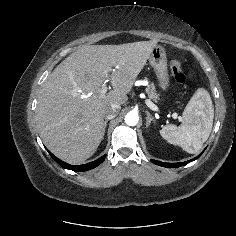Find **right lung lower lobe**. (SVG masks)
<instances>
[{
	"mask_svg": "<svg viewBox=\"0 0 236 236\" xmlns=\"http://www.w3.org/2000/svg\"><path fill=\"white\" fill-rule=\"evenodd\" d=\"M49 154L60 166H62L65 169H69V170H73V171H87V170L93 169V168L97 167L99 164H101L105 160V157H106V155H104L101 158H99L93 162L75 166V165H70L66 162L61 161L56 156H54L51 152H49Z\"/></svg>",
	"mask_w": 236,
	"mask_h": 236,
	"instance_id": "obj_1",
	"label": "right lung lower lobe"
}]
</instances>
